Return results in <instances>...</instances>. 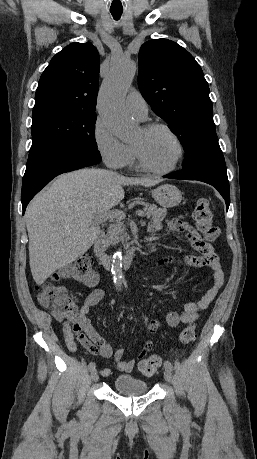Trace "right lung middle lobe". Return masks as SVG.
Segmentation results:
<instances>
[{
	"instance_id": "dd1d6c3e",
	"label": "right lung middle lobe",
	"mask_w": 257,
	"mask_h": 459,
	"mask_svg": "<svg viewBox=\"0 0 257 459\" xmlns=\"http://www.w3.org/2000/svg\"><path fill=\"white\" fill-rule=\"evenodd\" d=\"M96 113L72 108L33 112L30 151L71 147L100 156L95 141Z\"/></svg>"
}]
</instances>
